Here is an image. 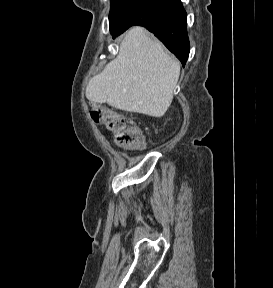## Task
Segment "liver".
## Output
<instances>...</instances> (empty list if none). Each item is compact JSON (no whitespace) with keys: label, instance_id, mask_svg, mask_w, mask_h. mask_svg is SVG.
Wrapping results in <instances>:
<instances>
[{"label":"liver","instance_id":"obj_1","mask_svg":"<svg viewBox=\"0 0 273 288\" xmlns=\"http://www.w3.org/2000/svg\"><path fill=\"white\" fill-rule=\"evenodd\" d=\"M179 75L180 63L137 26L125 35L117 57L89 81L86 97L127 112L162 117Z\"/></svg>","mask_w":273,"mask_h":288}]
</instances>
